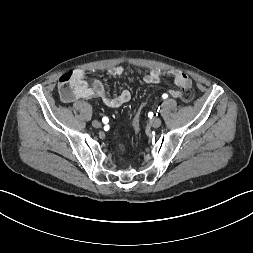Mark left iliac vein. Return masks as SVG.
Instances as JSON below:
<instances>
[{"instance_id":"4c4485c4","label":"left iliac vein","mask_w":253,"mask_h":253,"mask_svg":"<svg viewBox=\"0 0 253 253\" xmlns=\"http://www.w3.org/2000/svg\"><path fill=\"white\" fill-rule=\"evenodd\" d=\"M162 124V121L160 118H154L150 121V125L153 127V128H158L160 127Z\"/></svg>"}]
</instances>
